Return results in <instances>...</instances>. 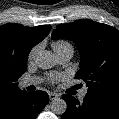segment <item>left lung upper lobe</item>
Listing matches in <instances>:
<instances>
[{"instance_id":"5c2ea615","label":"left lung upper lobe","mask_w":119,"mask_h":119,"mask_svg":"<svg viewBox=\"0 0 119 119\" xmlns=\"http://www.w3.org/2000/svg\"><path fill=\"white\" fill-rule=\"evenodd\" d=\"M53 39L74 41L80 52L77 79H83L88 93L119 98V31L91 20L59 24Z\"/></svg>"}]
</instances>
